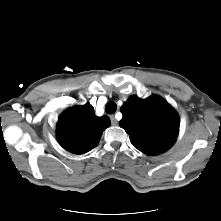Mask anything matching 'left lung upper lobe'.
<instances>
[{
  "label": "left lung upper lobe",
  "instance_id": "1",
  "mask_svg": "<svg viewBox=\"0 0 221 221\" xmlns=\"http://www.w3.org/2000/svg\"><path fill=\"white\" fill-rule=\"evenodd\" d=\"M123 118L119 125L141 152L155 156L167 151L176 141L179 116L160 96L147 99L131 96L120 108Z\"/></svg>",
  "mask_w": 221,
  "mask_h": 221
}]
</instances>
